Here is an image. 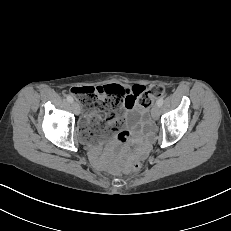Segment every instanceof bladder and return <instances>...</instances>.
<instances>
[{
  "mask_svg": "<svg viewBox=\"0 0 231 231\" xmlns=\"http://www.w3.org/2000/svg\"><path fill=\"white\" fill-rule=\"evenodd\" d=\"M98 132L104 134V131L98 127L96 128L94 125L87 123L77 127L76 136L83 144L88 145L95 143L99 139Z\"/></svg>",
  "mask_w": 231,
  "mask_h": 231,
  "instance_id": "1",
  "label": "bladder"
}]
</instances>
